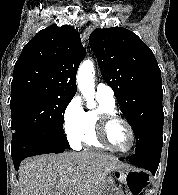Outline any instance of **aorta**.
Wrapping results in <instances>:
<instances>
[{
    "mask_svg": "<svg viewBox=\"0 0 178 195\" xmlns=\"http://www.w3.org/2000/svg\"><path fill=\"white\" fill-rule=\"evenodd\" d=\"M94 64L91 60H84L77 73V86L87 102V107L93 109L96 107L94 101L95 82H94Z\"/></svg>",
    "mask_w": 178,
    "mask_h": 195,
    "instance_id": "762f6f07",
    "label": "aorta"
}]
</instances>
